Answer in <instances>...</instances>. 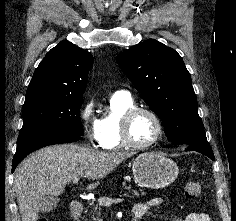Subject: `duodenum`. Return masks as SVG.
Masks as SVG:
<instances>
[{"instance_id":"1","label":"duodenum","mask_w":236,"mask_h":221,"mask_svg":"<svg viewBox=\"0 0 236 221\" xmlns=\"http://www.w3.org/2000/svg\"><path fill=\"white\" fill-rule=\"evenodd\" d=\"M84 211V205L82 202L78 200H74L70 205V215L73 221H79L80 216ZM132 221H136V219H132Z\"/></svg>"}]
</instances>
